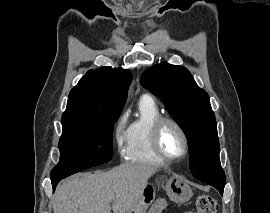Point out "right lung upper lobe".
<instances>
[{"label": "right lung upper lobe", "mask_w": 270, "mask_h": 213, "mask_svg": "<svg viewBox=\"0 0 270 213\" xmlns=\"http://www.w3.org/2000/svg\"><path fill=\"white\" fill-rule=\"evenodd\" d=\"M131 76L129 70L122 68L89 70L70 91L62 118L101 117L120 113Z\"/></svg>", "instance_id": "1"}]
</instances>
